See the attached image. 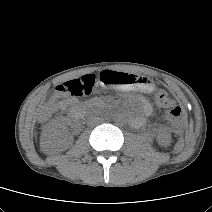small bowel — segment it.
Instances as JSON below:
<instances>
[{
	"instance_id": "obj_1",
	"label": "small bowel",
	"mask_w": 212,
	"mask_h": 212,
	"mask_svg": "<svg viewBox=\"0 0 212 212\" xmlns=\"http://www.w3.org/2000/svg\"><path fill=\"white\" fill-rule=\"evenodd\" d=\"M76 102L77 101L74 100V99H66V100L61 101L59 106H60L61 109H64L68 106H72V105L76 104ZM144 110L147 113L149 112V106L147 104L144 105Z\"/></svg>"
}]
</instances>
